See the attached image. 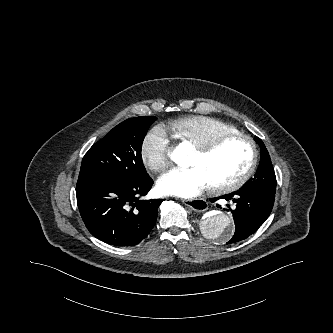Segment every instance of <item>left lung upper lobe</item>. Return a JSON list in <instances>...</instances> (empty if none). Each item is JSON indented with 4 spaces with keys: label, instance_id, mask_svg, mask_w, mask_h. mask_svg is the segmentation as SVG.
<instances>
[{
    "label": "left lung upper lobe",
    "instance_id": "obj_1",
    "mask_svg": "<svg viewBox=\"0 0 333 333\" xmlns=\"http://www.w3.org/2000/svg\"><path fill=\"white\" fill-rule=\"evenodd\" d=\"M254 139L260 146V163L254 177L250 178L240 189L264 191L275 194L276 176L272 167L269 153L260 138L255 136Z\"/></svg>",
    "mask_w": 333,
    "mask_h": 333
}]
</instances>
